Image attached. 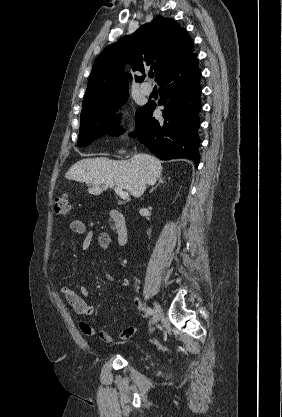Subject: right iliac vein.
<instances>
[{
  "label": "right iliac vein",
  "mask_w": 282,
  "mask_h": 417,
  "mask_svg": "<svg viewBox=\"0 0 282 417\" xmlns=\"http://www.w3.org/2000/svg\"><path fill=\"white\" fill-rule=\"evenodd\" d=\"M161 306L159 305V303L155 302L154 303V314L152 317V321L151 324H155L157 323V321L159 320L160 316H161Z\"/></svg>",
  "instance_id": "63e3f726"
}]
</instances>
